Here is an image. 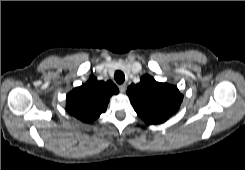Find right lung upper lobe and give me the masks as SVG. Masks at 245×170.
<instances>
[{
    "instance_id": "1",
    "label": "right lung upper lobe",
    "mask_w": 245,
    "mask_h": 170,
    "mask_svg": "<svg viewBox=\"0 0 245 170\" xmlns=\"http://www.w3.org/2000/svg\"><path fill=\"white\" fill-rule=\"evenodd\" d=\"M118 92V88L111 81H98L91 76L86 84L68 93L66 108L69 114L82 122H91L106 111L110 97Z\"/></svg>"
}]
</instances>
